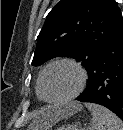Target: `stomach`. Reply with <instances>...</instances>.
Returning <instances> with one entry per match:
<instances>
[{
  "instance_id": "0dacf381",
  "label": "stomach",
  "mask_w": 123,
  "mask_h": 130,
  "mask_svg": "<svg viewBox=\"0 0 123 130\" xmlns=\"http://www.w3.org/2000/svg\"><path fill=\"white\" fill-rule=\"evenodd\" d=\"M58 130H82L80 126L74 124H68L61 126Z\"/></svg>"
}]
</instances>
